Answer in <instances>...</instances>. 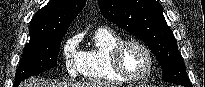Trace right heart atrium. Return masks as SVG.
I'll return each mask as SVG.
<instances>
[{"instance_id":"1","label":"right heart atrium","mask_w":205,"mask_h":87,"mask_svg":"<svg viewBox=\"0 0 205 87\" xmlns=\"http://www.w3.org/2000/svg\"><path fill=\"white\" fill-rule=\"evenodd\" d=\"M65 68L69 74L75 76L80 73L82 55L78 51L76 38L69 39L63 46Z\"/></svg>"}]
</instances>
